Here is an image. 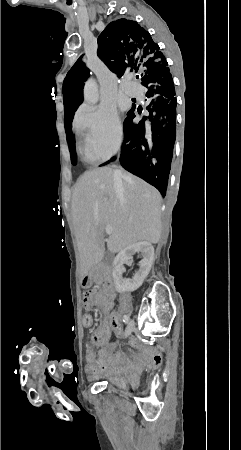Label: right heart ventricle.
<instances>
[{"label": "right heart ventricle", "mask_w": 241, "mask_h": 450, "mask_svg": "<svg viewBox=\"0 0 241 450\" xmlns=\"http://www.w3.org/2000/svg\"><path fill=\"white\" fill-rule=\"evenodd\" d=\"M81 116H88L87 113L82 114ZM77 133V140H78V148L80 153L84 156V158L93 164L99 163L100 160L95 157V155H84L83 148H84V142H85V134L88 133V130H76Z\"/></svg>", "instance_id": "e07e8e85"}]
</instances>
